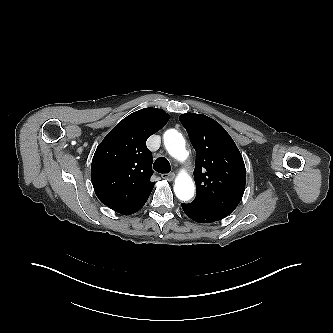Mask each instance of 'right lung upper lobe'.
Masks as SVG:
<instances>
[{
    "instance_id": "right-lung-upper-lobe-1",
    "label": "right lung upper lobe",
    "mask_w": 333,
    "mask_h": 333,
    "mask_svg": "<svg viewBox=\"0 0 333 333\" xmlns=\"http://www.w3.org/2000/svg\"><path fill=\"white\" fill-rule=\"evenodd\" d=\"M169 114L144 108L120 121L98 145L91 165V181L99 200L112 210L130 215L146 203L154 182L148 137L159 131Z\"/></svg>"
}]
</instances>
